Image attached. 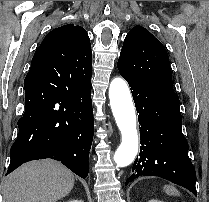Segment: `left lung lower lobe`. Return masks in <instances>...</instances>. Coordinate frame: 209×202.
Masks as SVG:
<instances>
[{
	"instance_id": "0a47b994",
	"label": "left lung lower lobe",
	"mask_w": 209,
	"mask_h": 202,
	"mask_svg": "<svg viewBox=\"0 0 209 202\" xmlns=\"http://www.w3.org/2000/svg\"><path fill=\"white\" fill-rule=\"evenodd\" d=\"M131 87L139 113L141 147L126 185L140 176H158L197 196L196 173L182 134L179 98L174 91L122 75Z\"/></svg>"
}]
</instances>
